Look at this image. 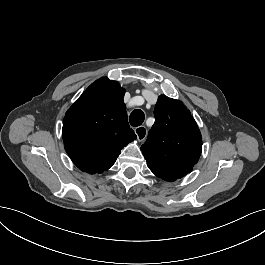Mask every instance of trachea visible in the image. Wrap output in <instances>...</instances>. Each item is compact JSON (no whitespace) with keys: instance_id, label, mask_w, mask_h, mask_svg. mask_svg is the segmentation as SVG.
<instances>
[{"instance_id":"trachea-1","label":"trachea","mask_w":265,"mask_h":265,"mask_svg":"<svg viewBox=\"0 0 265 265\" xmlns=\"http://www.w3.org/2000/svg\"><path fill=\"white\" fill-rule=\"evenodd\" d=\"M144 119L145 114L143 113V111L140 109H136L130 114L129 121L132 126L137 127L143 123Z\"/></svg>"}]
</instances>
